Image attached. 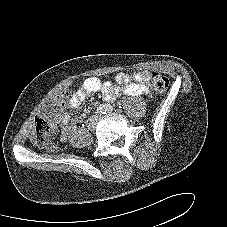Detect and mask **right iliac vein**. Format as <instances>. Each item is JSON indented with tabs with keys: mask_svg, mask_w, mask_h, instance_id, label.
<instances>
[{
	"mask_svg": "<svg viewBox=\"0 0 227 227\" xmlns=\"http://www.w3.org/2000/svg\"><path fill=\"white\" fill-rule=\"evenodd\" d=\"M96 122H97V119L95 117L90 118L88 122V128L92 130L95 129Z\"/></svg>",
	"mask_w": 227,
	"mask_h": 227,
	"instance_id": "63e3f726",
	"label": "right iliac vein"
}]
</instances>
